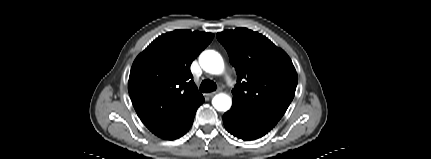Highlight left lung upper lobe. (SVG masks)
<instances>
[{"label": "left lung upper lobe", "mask_w": 431, "mask_h": 159, "mask_svg": "<svg viewBox=\"0 0 431 159\" xmlns=\"http://www.w3.org/2000/svg\"><path fill=\"white\" fill-rule=\"evenodd\" d=\"M237 72L235 109L276 124L291 103L298 77L289 56L268 38L246 28L217 34Z\"/></svg>", "instance_id": "1"}]
</instances>
